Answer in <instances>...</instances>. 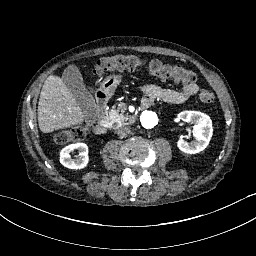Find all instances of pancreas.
I'll list each match as a JSON object with an SVG mask.
<instances>
[{
  "label": "pancreas",
  "instance_id": "cf45deb5",
  "mask_svg": "<svg viewBox=\"0 0 256 256\" xmlns=\"http://www.w3.org/2000/svg\"><path fill=\"white\" fill-rule=\"evenodd\" d=\"M128 106L126 103L122 102L119 105H115L109 113V121L112 124V128H117L118 126L125 124L126 122L130 124V120L126 110Z\"/></svg>",
  "mask_w": 256,
  "mask_h": 256
}]
</instances>
